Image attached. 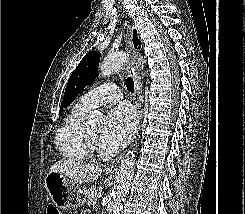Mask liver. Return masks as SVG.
I'll use <instances>...</instances> for the list:
<instances>
[{
  "label": "liver",
  "instance_id": "obj_1",
  "mask_svg": "<svg viewBox=\"0 0 245 214\" xmlns=\"http://www.w3.org/2000/svg\"><path fill=\"white\" fill-rule=\"evenodd\" d=\"M50 171H57L74 181L87 183L94 181L101 174L102 169L94 165H83L73 160H64L54 163L48 172Z\"/></svg>",
  "mask_w": 245,
  "mask_h": 214
}]
</instances>
